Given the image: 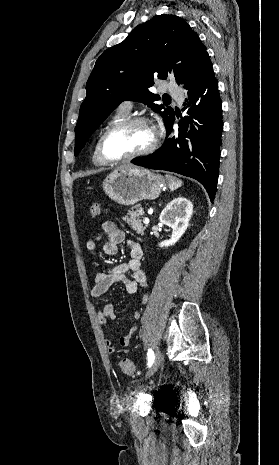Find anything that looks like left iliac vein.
Returning a JSON list of instances; mask_svg holds the SVG:
<instances>
[{"instance_id": "obj_1", "label": "left iliac vein", "mask_w": 279, "mask_h": 465, "mask_svg": "<svg viewBox=\"0 0 279 465\" xmlns=\"http://www.w3.org/2000/svg\"><path fill=\"white\" fill-rule=\"evenodd\" d=\"M161 361H162V353L160 350H157L155 352V358H154V362L152 364V367L147 375V377H150L152 376L159 368L160 364H161Z\"/></svg>"}]
</instances>
